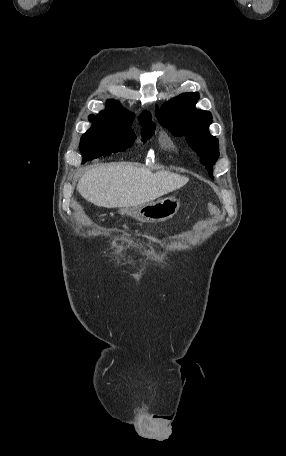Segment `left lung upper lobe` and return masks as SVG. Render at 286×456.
<instances>
[{"label": "left lung upper lobe", "instance_id": "obj_1", "mask_svg": "<svg viewBox=\"0 0 286 456\" xmlns=\"http://www.w3.org/2000/svg\"><path fill=\"white\" fill-rule=\"evenodd\" d=\"M199 99L198 93H183L166 102L156 115L159 123L171 130L175 136L185 135L189 146L201 157L212 177V167L219 156L218 139L210 135L208 126L212 115L208 111L199 110L195 105Z\"/></svg>", "mask_w": 286, "mask_h": 456}]
</instances>
